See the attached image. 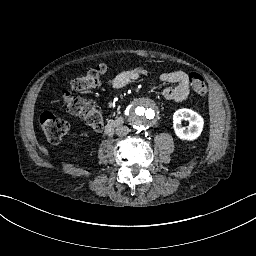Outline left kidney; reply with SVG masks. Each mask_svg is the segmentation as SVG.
<instances>
[{"label": "left kidney", "mask_w": 256, "mask_h": 256, "mask_svg": "<svg viewBox=\"0 0 256 256\" xmlns=\"http://www.w3.org/2000/svg\"><path fill=\"white\" fill-rule=\"evenodd\" d=\"M188 120L189 126L187 129L182 127V120ZM203 118L191 109H178L173 115V127L176 135L183 140L196 139L203 128Z\"/></svg>", "instance_id": "left-kidney-1"}]
</instances>
